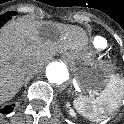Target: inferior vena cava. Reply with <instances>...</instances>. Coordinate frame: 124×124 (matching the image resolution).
I'll return each mask as SVG.
<instances>
[{"label": "inferior vena cava", "instance_id": "602c4592", "mask_svg": "<svg viewBox=\"0 0 124 124\" xmlns=\"http://www.w3.org/2000/svg\"><path fill=\"white\" fill-rule=\"evenodd\" d=\"M28 69L30 71H37L38 70V66H37V64L35 62H30L28 64Z\"/></svg>", "mask_w": 124, "mask_h": 124}]
</instances>
